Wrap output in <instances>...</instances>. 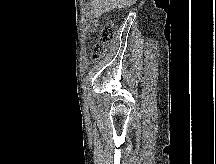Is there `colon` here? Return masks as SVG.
<instances>
[{"label":"colon","instance_id":"5ec220e1","mask_svg":"<svg viewBox=\"0 0 216 164\" xmlns=\"http://www.w3.org/2000/svg\"><path fill=\"white\" fill-rule=\"evenodd\" d=\"M115 35V27L113 23H106L102 26L99 32V40L94 45L92 57L94 60L101 59L106 53V46L109 44Z\"/></svg>","mask_w":216,"mask_h":164}]
</instances>
